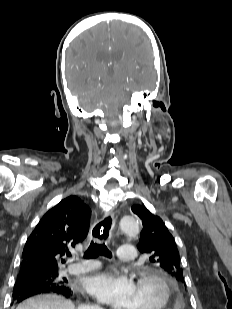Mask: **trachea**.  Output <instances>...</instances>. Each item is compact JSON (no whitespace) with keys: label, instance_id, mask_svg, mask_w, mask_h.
<instances>
[{"label":"trachea","instance_id":"obj_1","mask_svg":"<svg viewBox=\"0 0 232 309\" xmlns=\"http://www.w3.org/2000/svg\"><path fill=\"white\" fill-rule=\"evenodd\" d=\"M97 255H103L107 258L112 257V253L109 251L105 244H97L92 241L84 253V258L91 259L95 258Z\"/></svg>","mask_w":232,"mask_h":309}]
</instances>
